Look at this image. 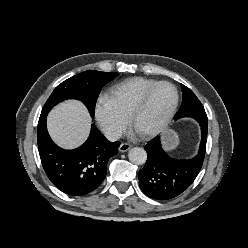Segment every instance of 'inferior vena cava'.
<instances>
[{"label":"inferior vena cava","mask_w":248,"mask_h":248,"mask_svg":"<svg viewBox=\"0 0 248 248\" xmlns=\"http://www.w3.org/2000/svg\"><path fill=\"white\" fill-rule=\"evenodd\" d=\"M104 135L107 138V140H109L111 142L117 141L121 136L119 131L112 129V128L105 129Z\"/></svg>","instance_id":"obj_1"}]
</instances>
